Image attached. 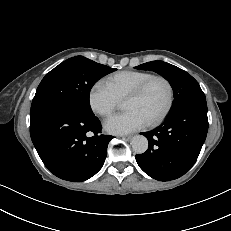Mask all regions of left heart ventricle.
Here are the masks:
<instances>
[{"label": "left heart ventricle", "mask_w": 231, "mask_h": 231, "mask_svg": "<svg viewBox=\"0 0 231 231\" xmlns=\"http://www.w3.org/2000/svg\"><path fill=\"white\" fill-rule=\"evenodd\" d=\"M167 101V86L164 82L157 80L150 85L142 97L125 100L124 109L127 111H137L148 122L157 117L164 110Z\"/></svg>", "instance_id": "left-heart-ventricle-1"}]
</instances>
